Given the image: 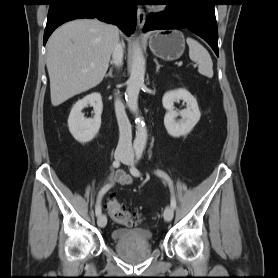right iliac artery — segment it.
I'll use <instances>...</instances> for the list:
<instances>
[{"label": "right iliac artery", "instance_id": "right-iliac-artery-1", "mask_svg": "<svg viewBox=\"0 0 278 278\" xmlns=\"http://www.w3.org/2000/svg\"><path fill=\"white\" fill-rule=\"evenodd\" d=\"M112 165L114 168H118L120 166V162L118 160H116L113 162ZM107 190H108V188H102L98 194L97 202H96V206H95L96 216L101 215V199H102L103 195L107 192Z\"/></svg>", "mask_w": 278, "mask_h": 278}]
</instances>
